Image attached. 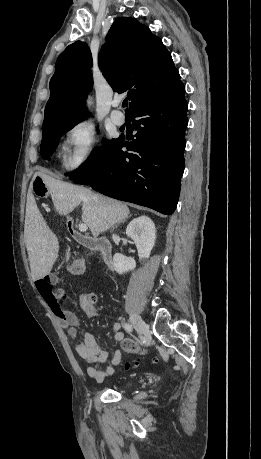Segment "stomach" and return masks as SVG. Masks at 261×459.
Wrapping results in <instances>:
<instances>
[{"mask_svg":"<svg viewBox=\"0 0 261 459\" xmlns=\"http://www.w3.org/2000/svg\"><path fill=\"white\" fill-rule=\"evenodd\" d=\"M31 186L33 194L37 197H45L49 194V190L40 176L33 178Z\"/></svg>","mask_w":261,"mask_h":459,"instance_id":"1","label":"stomach"}]
</instances>
